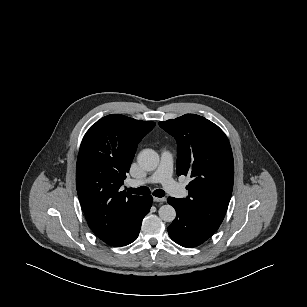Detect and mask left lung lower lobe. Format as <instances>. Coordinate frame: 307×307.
<instances>
[{
    "label": "left lung lower lobe",
    "mask_w": 307,
    "mask_h": 307,
    "mask_svg": "<svg viewBox=\"0 0 307 307\" xmlns=\"http://www.w3.org/2000/svg\"><path fill=\"white\" fill-rule=\"evenodd\" d=\"M168 203L176 209V218L168 227L169 236L183 247H195L205 242L215 231L193 219L177 198L169 197Z\"/></svg>",
    "instance_id": "left-lung-lower-lobe-1"
}]
</instances>
